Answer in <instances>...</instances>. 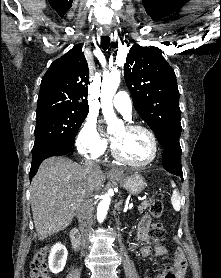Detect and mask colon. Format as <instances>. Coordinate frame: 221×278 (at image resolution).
<instances>
[{
	"instance_id": "colon-1",
	"label": "colon",
	"mask_w": 221,
	"mask_h": 278,
	"mask_svg": "<svg viewBox=\"0 0 221 278\" xmlns=\"http://www.w3.org/2000/svg\"><path fill=\"white\" fill-rule=\"evenodd\" d=\"M150 215L158 219L163 214V204L160 200L154 199L150 203L149 208ZM150 235L156 241L164 240L167 236L163 226L156 222L150 230ZM48 247L40 249L33 257L31 262L30 278H51L46 266V259L48 256ZM166 278H175L174 272L166 273Z\"/></svg>"
}]
</instances>
